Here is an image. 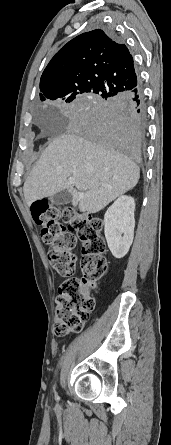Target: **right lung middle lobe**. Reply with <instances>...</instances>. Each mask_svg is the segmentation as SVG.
Segmentation results:
<instances>
[{
    "label": "right lung middle lobe",
    "instance_id": "obj_1",
    "mask_svg": "<svg viewBox=\"0 0 171 445\" xmlns=\"http://www.w3.org/2000/svg\"><path fill=\"white\" fill-rule=\"evenodd\" d=\"M82 93L68 96L67 98H65L63 100L66 102H70V101L74 100L76 96L81 95ZM83 96L87 99L86 108H87L88 115L90 113L91 108L94 106V104L103 99V95L101 93H97V92L84 93Z\"/></svg>",
    "mask_w": 171,
    "mask_h": 445
}]
</instances>
